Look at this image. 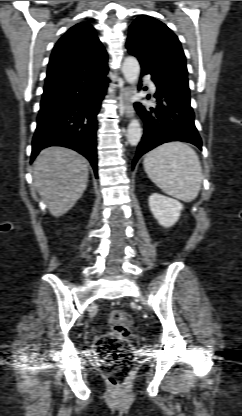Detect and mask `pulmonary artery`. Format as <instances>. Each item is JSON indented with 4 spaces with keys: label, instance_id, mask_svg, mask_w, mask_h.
<instances>
[{
    "label": "pulmonary artery",
    "instance_id": "obj_1",
    "mask_svg": "<svg viewBox=\"0 0 242 416\" xmlns=\"http://www.w3.org/2000/svg\"><path fill=\"white\" fill-rule=\"evenodd\" d=\"M148 84H149L150 90L154 92L156 90L154 83L151 81H148Z\"/></svg>",
    "mask_w": 242,
    "mask_h": 416
}]
</instances>
